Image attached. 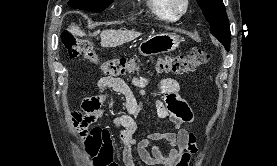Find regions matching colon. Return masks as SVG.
<instances>
[{"mask_svg":"<svg viewBox=\"0 0 277 166\" xmlns=\"http://www.w3.org/2000/svg\"><path fill=\"white\" fill-rule=\"evenodd\" d=\"M63 43L70 58L84 57L90 63L99 66L101 71L109 77L133 74L138 71L136 61L131 57H117L107 60H100L90 41L76 38L71 32L63 33ZM211 55L208 51L195 48L187 54L161 57L156 64L159 72L188 74L196 71L201 66L209 62ZM74 127L79 135L85 136L89 132L85 119L79 113Z\"/></svg>","mask_w":277,"mask_h":166,"instance_id":"colon-1","label":"colon"}]
</instances>
